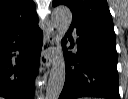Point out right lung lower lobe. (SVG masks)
<instances>
[{
    "label": "right lung lower lobe",
    "mask_w": 128,
    "mask_h": 99,
    "mask_svg": "<svg viewBox=\"0 0 128 99\" xmlns=\"http://www.w3.org/2000/svg\"><path fill=\"white\" fill-rule=\"evenodd\" d=\"M41 48L42 32L37 16L0 34V96L34 99ZM13 52L19 55L14 57Z\"/></svg>",
    "instance_id": "right-lung-lower-lobe-1"
}]
</instances>
